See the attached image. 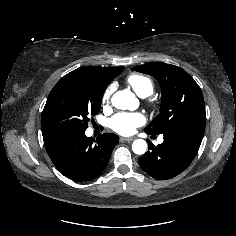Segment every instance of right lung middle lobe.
Returning a JSON list of instances; mask_svg holds the SVG:
<instances>
[{
  "mask_svg": "<svg viewBox=\"0 0 236 236\" xmlns=\"http://www.w3.org/2000/svg\"><path fill=\"white\" fill-rule=\"evenodd\" d=\"M99 73L95 78L67 74L51 90L41 116L43 138L85 132L90 116L99 112L106 86L119 75Z\"/></svg>",
  "mask_w": 236,
  "mask_h": 236,
  "instance_id": "obj_1",
  "label": "right lung middle lobe"
}]
</instances>
